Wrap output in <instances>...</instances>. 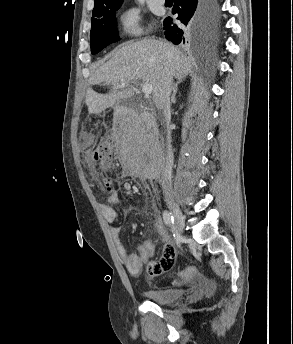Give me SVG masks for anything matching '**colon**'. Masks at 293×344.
I'll return each instance as SVG.
<instances>
[{"label":"colon","instance_id":"obj_1","mask_svg":"<svg viewBox=\"0 0 293 344\" xmlns=\"http://www.w3.org/2000/svg\"><path fill=\"white\" fill-rule=\"evenodd\" d=\"M83 134L85 138L89 137L88 131H85ZM92 163L96 172L100 176V182L105 191L113 193L115 191V180L106 175L113 169L112 145L109 141H102L97 145ZM196 274H199L197 269L189 266L180 273L179 278L180 281L186 282Z\"/></svg>","mask_w":293,"mask_h":344}]
</instances>
